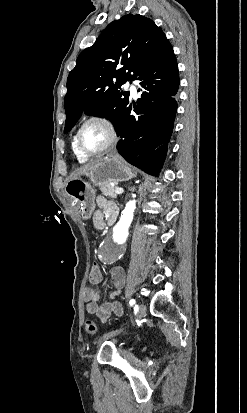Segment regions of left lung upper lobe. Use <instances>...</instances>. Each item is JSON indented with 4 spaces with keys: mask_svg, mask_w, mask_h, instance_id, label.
<instances>
[{
    "mask_svg": "<svg viewBox=\"0 0 247 413\" xmlns=\"http://www.w3.org/2000/svg\"><path fill=\"white\" fill-rule=\"evenodd\" d=\"M167 47L171 44L165 34L149 18L128 14L111 22L94 45L80 53L69 73L64 132L83 113L106 117L117 130L129 104V92L119 90L121 85L136 80Z\"/></svg>",
    "mask_w": 247,
    "mask_h": 413,
    "instance_id": "obj_1",
    "label": "left lung upper lobe"
}]
</instances>
